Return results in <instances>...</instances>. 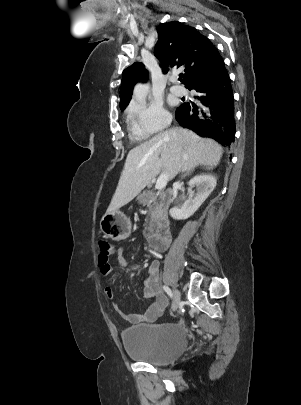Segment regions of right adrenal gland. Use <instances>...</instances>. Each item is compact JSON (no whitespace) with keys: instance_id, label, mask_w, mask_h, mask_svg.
<instances>
[{"instance_id":"obj_1","label":"right adrenal gland","mask_w":301,"mask_h":405,"mask_svg":"<svg viewBox=\"0 0 301 405\" xmlns=\"http://www.w3.org/2000/svg\"><path fill=\"white\" fill-rule=\"evenodd\" d=\"M191 172H193V169L190 170V171H188V172H186L182 177H186L187 175L191 174Z\"/></svg>"}]
</instances>
